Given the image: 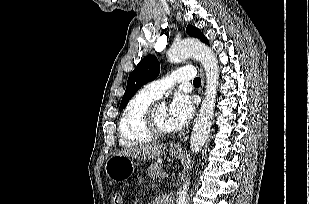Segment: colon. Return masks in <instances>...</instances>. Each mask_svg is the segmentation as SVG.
<instances>
[{
  "mask_svg": "<svg viewBox=\"0 0 309 204\" xmlns=\"http://www.w3.org/2000/svg\"><path fill=\"white\" fill-rule=\"evenodd\" d=\"M112 204H122V194L118 191H114L111 194Z\"/></svg>",
  "mask_w": 309,
  "mask_h": 204,
  "instance_id": "5ec220e1",
  "label": "colon"
}]
</instances>
